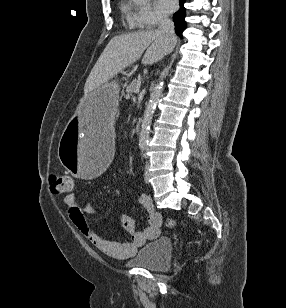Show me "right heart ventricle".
<instances>
[{
	"mask_svg": "<svg viewBox=\"0 0 286 308\" xmlns=\"http://www.w3.org/2000/svg\"><path fill=\"white\" fill-rule=\"evenodd\" d=\"M121 10H122V12L124 13V15H125V17H126L128 23L131 24V25H133L131 13H130V11H129V7H128L126 4H122Z\"/></svg>",
	"mask_w": 286,
	"mask_h": 308,
	"instance_id": "right-heart-ventricle-1",
	"label": "right heart ventricle"
}]
</instances>
